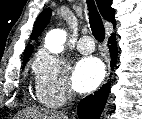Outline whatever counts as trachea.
<instances>
[{
  "label": "trachea",
  "mask_w": 142,
  "mask_h": 119,
  "mask_svg": "<svg viewBox=\"0 0 142 119\" xmlns=\"http://www.w3.org/2000/svg\"><path fill=\"white\" fill-rule=\"evenodd\" d=\"M87 4L89 10V23L92 33L97 41L102 42L105 38V29L101 16L93 0H88Z\"/></svg>",
  "instance_id": "trachea-1"
}]
</instances>
